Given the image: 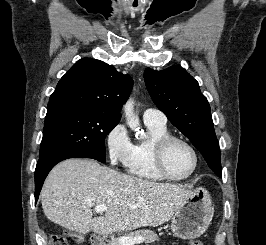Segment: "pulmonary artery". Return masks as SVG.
Masks as SVG:
<instances>
[{
	"label": "pulmonary artery",
	"mask_w": 266,
	"mask_h": 245,
	"mask_svg": "<svg viewBox=\"0 0 266 245\" xmlns=\"http://www.w3.org/2000/svg\"><path fill=\"white\" fill-rule=\"evenodd\" d=\"M144 122H157L161 124L167 123L166 115L156 108H147L143 112Z\"/></svg>",
	"instance_id": "obj_1"
}]
</instances>
